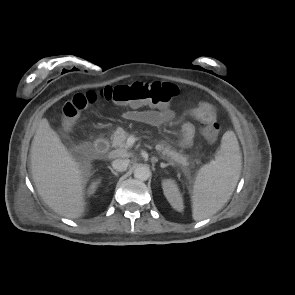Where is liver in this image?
<instances>
[{
	"label": "liver",
	"instance_id": "obj_1",
	"mask_svg": "<svg viewBox=\"0 0 295 295\" xmlns=\"http://www.w3.org/2000/svg\"><path fill=\"white\" fill-rule=\"evenodd\" d=\"M31 173L38 194L57 214L74 219L85 212L86 178L48 120H40L31 150Z\"/></svg>",
	"mask_w": 295,
	"mask_h": 295
}]
</instances>
